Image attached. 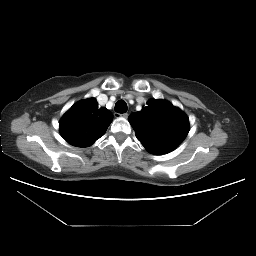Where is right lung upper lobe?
<instances>
[{
    "label": "right lung upper lobe",
    "instance_id": "obj_1",
    "mask_svg": "<svg viewBox=\"0 0 256 256\" xmlns=\"http://www.w3.org/2000/svg\"><path fill=\"white\" fill-rule=\"evenodd\" d=\"M111 122V113L106 108L98 109V103L91 98L74 104L59 125L67 142L77 147H88L104 135Z\"/></svg>",
    "mask_w": 256,
    "mask_h": 256
}]
</instances>
